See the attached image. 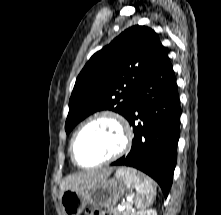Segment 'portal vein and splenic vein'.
I'll use <instances>...</instances> for the list:
<instances>
[{
    "label": "portal vein and splenic vein",
    "mask_w": 221,
    "mask_h": 215,
    "mask_svg": "<svg viewBox=\"0 0 221 215\" xmlns=\"http://www.w3.org/2000/svg\"><path fill=\"white\" fill-rule=\"evenodd\" d=\"M122 205H123L124 207H125V206L127 207V204H126V203H122Z\"/></svg>",
    "instance_id": "1"
}]
</instances>
